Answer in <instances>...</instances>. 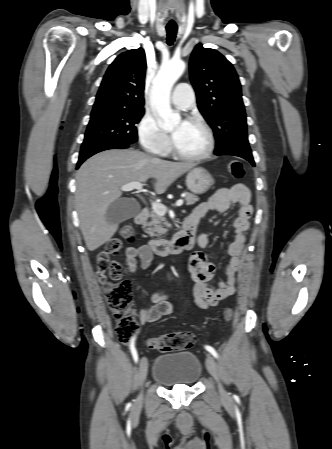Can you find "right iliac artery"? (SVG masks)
I'll return each mask as SVG.
<instances>
[{"mask_svg": "<svg viewBox=\"0 0 332 449\" xmlns=\"http://www.w3.org/2000/svg\"><path fill=\"white\" fill-rule=\"evenodd\" d=\"M130 351H131L134 361L137 363L138 362V354H137V350L135 348V337L132 338V340L130 342Z\"/></svg>", "mask_w": 332, "mask_h": 449, "instance_id": "right-iliac-artery-1", "label": "right iliac artery"}]
</instances>
